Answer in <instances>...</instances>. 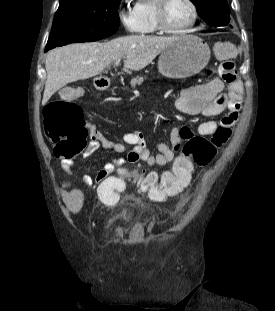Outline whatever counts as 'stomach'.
<instances>
[{"label": "stomach", "mask_w": 275, "mask_h": 311, "mask_svg": "<svg viewBox=\"0 0 275 311\" xmlns=\"http://www.w3.org/2000/svg\"><path fill=\"white\" fill-rule=\"evenodd\" d=\"M209 60V46L195 35H184L161 52L158 70L167 78H187L200 73Z\"/></svg>", "instance_id": "0dacf381"}]
</instances>
